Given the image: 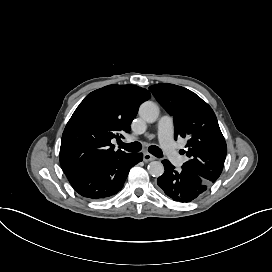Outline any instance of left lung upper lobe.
Wrapping results in <instances>:
<instances>
[{
    "instance_id": "5c2ea615",
    "label": "left lung upper lobe",
    "mask_w": 272,
    "mask_h": 272,
    "mask_svg": "<svg viewBox=\"0 0 272 272\" xmlns=\"http://www.w3.org/2000/svg\"><path fill=\"white\" fill-rule=\"evenodd\" d=\"M149 89L174 117L175 139H188L189 160L182 167L214 183L222 172L227 146L211 107L181 86L162 83Z\"/></svg>"
}]
</instances>
